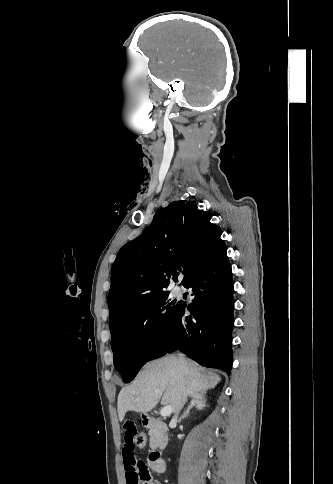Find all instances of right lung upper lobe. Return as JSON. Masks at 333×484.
I'll return each mask as SVG.
<instances>
[{
  "instance_id": "cb5924a9",
  "label": "right lung upper lobe",
  "mask_w": 333,
  "mask_h": 484,
  "mask_svg": "<svg viewBox=\"0 0 333 484\" xmlns=\"http://www.w3.org/2000/svg\"><path fill=\"white\" fill-rule=\"evenodd\" d=\"M211 213L190 203L160 209L142 235L124 245L113 263L108 294L110 327L136 308L169 294L177 270L185 285L224 245Z\"/></svg>"
}]
</instances>
